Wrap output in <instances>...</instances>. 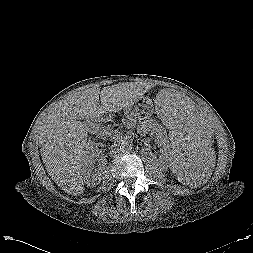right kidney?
<instances>
[{"label":"right kidney","mask_w":253,"mask_h":253,"mask_svg":"<svg viewBox=\"0 0 253 253\" xmlns=\"http://www.w3.org/2000/svg\"><path fill=\"white\" fill-rule=\"evenodd\" d=\"M98 146L99 143H97L95 140H88L82 160L81 172L85 183L90 187H95L101 181V176L92 172L95 158L101 152L99 151Z\"/></svg>","instance_id":"ca27d5eb"}]
</instances>
